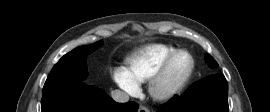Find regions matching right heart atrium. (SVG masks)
<instances>
[{
	"mask_svg": "<svg viewBox=\"0 0 270 112\" xmlns=\"http://www.w3.org/2000/svg\"><path fill=\"white\" fill-rule=\"evenodd\" d=\"M113 79L118 86L124 89L126 92L130 94H136L139 91V86L136 84L128 72L121 67H117L113 71Z\"/></svg>",
	"mask_w": 270,
	"mask_h": 112,
	"instance_id": "right-heart-atrium-1",
	"label": "right heart atrium"
}]
</instances>
